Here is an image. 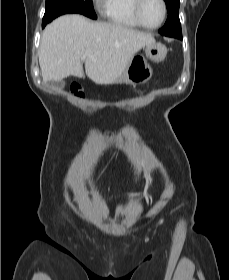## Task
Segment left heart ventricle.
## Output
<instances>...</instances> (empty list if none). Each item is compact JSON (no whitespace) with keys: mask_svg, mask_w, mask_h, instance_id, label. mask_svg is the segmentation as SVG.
<instances>
[{"mask_svg":"<svg viewBox=\"0 0 229 280\" xmlns=\"http://www.w3.org/2000/svg\"><path fill=\"white\" fill-rule=\"evenodd\" d=\"M162 6L159 0H145L141 15L144 22L150 26L157 25L162 18Z\"/></svg>","mask_w":229,"mask_h":280,"instance_id":"obj_1","label":"left heart ventricle"}]
</instances>
